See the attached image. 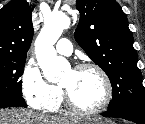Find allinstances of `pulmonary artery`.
I'll use <instances>...</instances> for the list:
<instances>
[{
    "label": "pulmonary artery",
    "mask_w": 145,
    "mask_h": 124,
    "mask_svg": "<svg viewBox=\"0 0 145 124\" xmlns=\"http://www.w3.org/2000/svg\"><path fill=\"white\" fill-rule=\"evenodd\" d=\"M56 51L59 54L69 56L72 54L73 46L68 39L62 38L56 44Z\"/></svg>",
    "instance_id": "1"
}]
</instances>
